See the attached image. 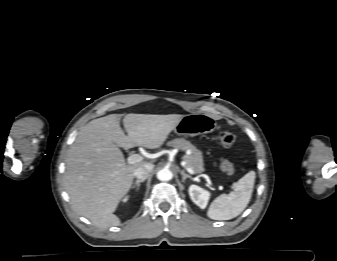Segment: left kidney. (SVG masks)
<instances>
[{
  "label": "left kidney",
  "instance_id": "obj_1",
  "mask_svg": "<svg viewBox=\"0 0 337 261\" xmlns=\"http://www.w3.org/2000/svg\"><path fill=\"white\" fill-rule=\"evenodd\" d=\"M191 200L201 209L206 208L210 193L197 185H191L188 189Z\"/></svg>",
  "mask_w": 337,
  "mask_h": 261
}]
</instances>
